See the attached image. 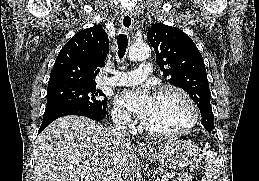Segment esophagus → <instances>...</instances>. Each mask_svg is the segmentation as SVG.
<instances>
[{"instance_id":"esophagus-1","label":"esophagus","mask_w":259,"mask_h":181,"mask_svg":"<svg viewBox=\"0 0 259 181\" xmlns=\"http://www.w3.org/2000/svg\"><path fill=\"white\" fill-rule=\"evenodd\" d=\"M132 24H133V18L129 13H126L123 15L122 20H121V26L123 30H130L132 28ZM137 148L139 150H144L146 149L145 144L139 142L137 144Z\"/></svg>"}]
</instances>
